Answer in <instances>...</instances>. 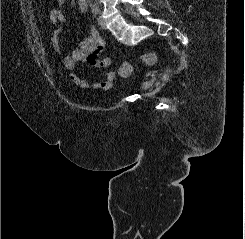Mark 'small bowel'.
Returning a JSON list of instances; mask_svg holds the SVG:
<instances>
[{"instance_id": "small-bowel-1", "label": "small bowel", "mask_w": 245, "mask_h": 239, "mask_svg": "<svg viewBox=\"0 0 245 239\" xmlns=\"http://www.w3.org/2000/svg\"><path fill=\"white\" fill-rule=\"evenodd\" d=\"M65 0H57V5L50 11L51 22L56 26L53 35L54 41L57 43L58 36L62 31V23L65 21L64 12ZM78 9L85 13L88 9V0H78ZM105 42L101 38L99 31L94 25H91L87 36L79 43L70 55L63 57V65L69 71L71 82L82 89H103L109 90L115 84L118 73L109 71L102 80L85 79L81 77L75 70L76 65L80 62H88L92 67L102 69L111 66L114 60L111 57H100Z\"/></svg>"}]
</instances>
